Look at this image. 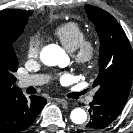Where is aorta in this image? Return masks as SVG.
I'll return each instance as SVG.
<instances>
[{
    "label": "aorta",
    "instance_id": "1",
    "mask_svg": "<svg viewBox=\"0 0 133 133\" xmlns=\"http://www.w3.org/2000/svg\"><path fill=\"white\" fill-rule=\"evenodd\" d=\"M41 61L48 66L63 67L68 62V56L64 50L56 44H50L43 48L40 54ZM70 119L74 124L81 125L87 120V113L82 108H75L71 111Z\"/></svg>",
    "mask_w": 133,
    "mask_h": 133
}]
</instances>
